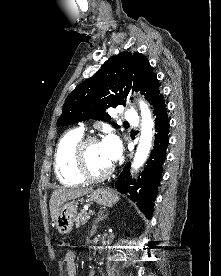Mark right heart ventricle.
Instances as JSON below:
<instances>
[{"mask_svg": "<svg viewBox=\"0 0 221 276\" xmlns=\"http://www.w3.org/2000/svg\"><path fill=\"white\" fill-rule=\"evenodd\" d=\"M83 137L81 129L66 132L59 140L55 151V171L59 180L66 185H78L84 178L78 173L75 165V147Z\"/></svg>", "mask_w": 221, "mask_h": 276, "instance_id": "obj_1", "label": "right heart ventricle"}]
</instances>
